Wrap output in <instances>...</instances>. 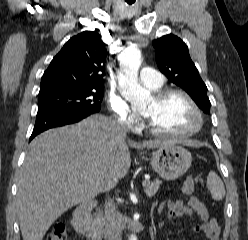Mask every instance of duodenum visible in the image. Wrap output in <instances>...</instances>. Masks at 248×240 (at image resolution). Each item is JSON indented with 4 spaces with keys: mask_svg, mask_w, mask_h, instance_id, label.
Returning <instances> with one entry per match:
<instances>
[{
    "mask_svg": "<svg viewBox=\"0 0 248 240\" xmlns=\"http://www.w3.org/2000/svg\"><path fill=\"white\" fill-rule=\"evenodd\" d=\"M96 203L93 200L82 203L73 214L72 225L76 231L81 233L85 240H100L90 220V214Z\"/></svg>",
    "mask_w": 248,
    "mask_h": 240,
    "instance_id": "duodenum-1",
    "label": "duodenum"
}]
</instances>
